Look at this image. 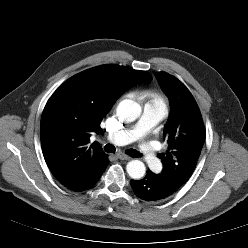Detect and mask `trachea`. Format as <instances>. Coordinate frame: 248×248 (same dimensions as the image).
I'll use <instances>...</instances> for the list:
<instances>
[{
  "mask_svg": "<svg viewBox=\"0 0 248 248\" xmlns=\"http://www.w3.org/2000/svg\"><path fill=\"white\" fill-rule=\"evenodd\" d=\"M104 149L107 153H112V152H115V150H116V148L111 144H106L104 146ZM126 154H128L129 156H131L133 158L141 157L140 153L135 149H128L126 151Z\"/></svg>",
  "mask_w": 248,
  "mask_h": 248,
  "instance_id": "trachea-1",
  "label": "trachea"
}]
</instances>
